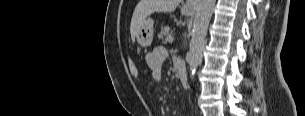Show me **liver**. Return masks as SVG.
I'll use <instances>...</instances> for the list:
<instances>
[{
  "instance_id": "liver-1",
  "label": "liver",
  "mask_w": 305,
  "mask_h": 116,
  "mask_svg": "<svg viewBox=\"0 0 305 116\" xmlns=\"http://www.w3.org/2000/svg\"><path fill=\"white\" fill-rule=\"evenodd\" d=\"M181 0H140L135 7L131 25L130 33L132 41L135 40L142 23L145 19L155 12L171 13L180 4Z\"/></svg>"
}]
</instances>
